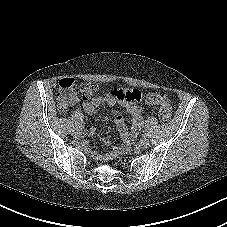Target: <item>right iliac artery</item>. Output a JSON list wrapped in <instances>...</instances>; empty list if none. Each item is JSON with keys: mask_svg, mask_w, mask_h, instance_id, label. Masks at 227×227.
<instances>
[{"mask_svg": "<svg viewBox=\"0 0 227 227\" xmlns=\"http://www.w3.org/2000/svg\"><path fill=\"white\" fill-rule=\"evenodd\" d=\"M75 128H76V129H81V124H76V125H75Z\"/></svg>", "mask_w": 227, "mask_h": 227, "instance_id": "82829eb1", "label": "right iliac artery"}]
</instances>
